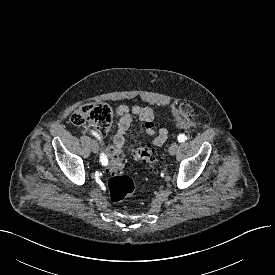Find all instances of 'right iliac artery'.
Wrapping results in <instances>:
<instances>
[{"label":"right iliac artery","mask_w":275,"mask_h":275,"mask_svg":"<svg viewBox=\"0 0 275 275\" xmlns=\"http://www.w3.org/2000/svg\"><path fill=\"white\" fill-rule=\"evenodd\" d=\"M91 133H92V135H94L98 140L101 141V137H100V135H99L97 132L91 131ZM100 162H101L102 165H107V164H108V159H107V157L105 156V154H104L103 152L100 154Z\"/></svg>","instance_id":"82829eb1"}]
</instances>
